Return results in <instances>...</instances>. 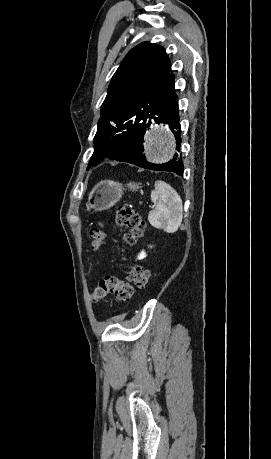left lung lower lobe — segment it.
I'll return each mask as SVG.
<instances>
[{
	"label": "left lung lower lobe",
	"instance_id": "left-lung-lower-lobe-1",
	"mask_svg": "<svg viewBox=\"0 0 271 459\" xmlns=\"http://www.w3.org/2000/svg\"><path fill=\"white\" fill-rule=\"evenodd\" d=\"M174 75L164 79L163 84L153 93V103L149 110L141 117L130 120L111 137V149L104 161H123L139 167L156 170L170 171L178 175L183 174V162L175 153L168 163L156 165L147 162L143 156V144L145 132L151 124L164 123L170 126L176 138V149L180 152L181 126L179 119L178 97L174 90Z\"/></svg>",
	"mask_w": 271,
	"mask_h": 459
}]
</instances>
